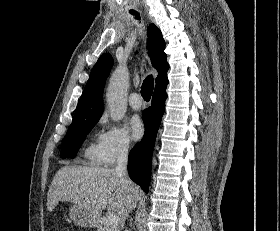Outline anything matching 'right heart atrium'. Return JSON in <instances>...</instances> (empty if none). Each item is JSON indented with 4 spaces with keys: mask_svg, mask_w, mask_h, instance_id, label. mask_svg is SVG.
<instances>
[{
    "mask_svg": "<svg viewBox=\"0 0 280 231\" xmlns=\"http://www.w3.org/2000/svg\"><path fill=\"white\" fill-rule=\"evenodd\" d=\"M104 164L111 165L115 159L130 151L132 144L128 136L119 128L109 126L98 138Z\"/></svg>",
    "mask_w": 280,
    "mask_h": 231,
    "instance_id": "right-heart-atrium-1",
    "label": "right heart atrium"
}]
</instances>
